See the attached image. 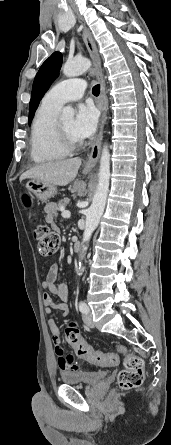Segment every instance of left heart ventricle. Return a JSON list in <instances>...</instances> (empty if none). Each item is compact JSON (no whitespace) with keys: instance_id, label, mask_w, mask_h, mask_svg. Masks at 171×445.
<instances>
[{"instance_id":"1","label":"left heart ventricle","mask_w":171,"mask_h":445,"mask_svg":"<svg viewBox=\"0 0 171 445\" xmlns=\"http://www.w3.org/2000/svg\"><path fill=\"white\" fill-rule=\"evenodd\" d=\"M62 128L66 132V134L73 140V141H80L81 139L76 136V134L73 131V120L72 119H66L59 121Z\"/></svg>"}]
</instances>
